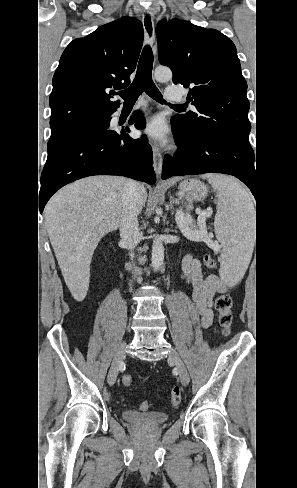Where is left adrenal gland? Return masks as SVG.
<instances>
[{
  "instance_id": "obj_1",
  "label": "left adrenal gland",
  "mask_w": 297,
  "mask_h": 488,
  "mask_svg": "<svg viewBox=\"0 0 297 488\" xmlns=\"http://www.w3.org/2000/svg\"><path fill=\"white\" fill-rule=\"evenodd\" d=\"M173 204H174V200H173V198H171V200H170V210H171V214H174V206H173Z\"/></svg>"
}]
</instances>
